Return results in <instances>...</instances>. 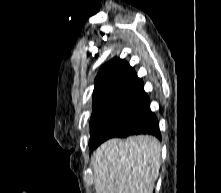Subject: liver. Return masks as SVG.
Here are the masks:
<instances>
[{"mask_svg": "<svg viewBox=\"0 0 221 193\" xmlns=\"http://www.w3.org/2000/svg\"><path fill=\"white\" fill-rule=\"evenodd\" d=\"M160 153V142L148 135L106 141L91 159L96 193H153Z\"/></svg>", "mask_w": 221, "mask_h": 193, "instance_id": "1", "label": "liver"}]
</instances>
